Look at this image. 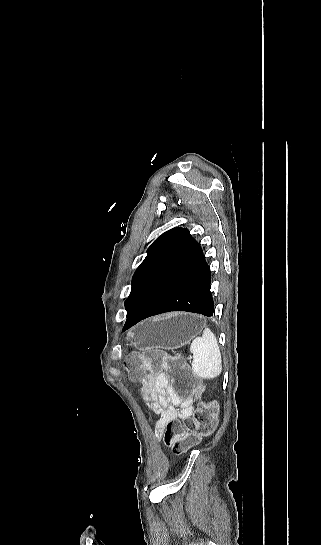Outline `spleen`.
Listing matches in <instances>:
<instances>
[{
	"label": "spleen",
	"mask_w": 321,
	"mask_h": 545,
	"mask_svg": "<svg viewBox=\"0 0 321 545\" xmlns=\"http://www.w3.org/2000/svg\"><path fill=\"white\" fill-rule=\"evenodd\" d=\"M193 353L192 371L200 379H215L222 371V357L218 341L211 329H204L190 345Z\"/></svg>",
	"instance_id": "3e777b00"
}]
</instances>
